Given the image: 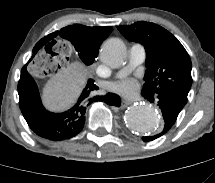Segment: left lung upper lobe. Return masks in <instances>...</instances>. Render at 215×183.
Returning <instances> with one entry per match:
<instances>
[{
	"label": "left lung upper lobe",
	"instance_id": "left-lung-upper-lobe-1",
	"mask_svg": "<svg viewBox=\"0 0 215 183\" xmlns=\"http://www.w3.org/2000/svg\"><path fill=\"white\" fill-rule=\"evenodd\" d=\"M117 28L126 39L145 47L147 70L142 93L169 94L186 104L192 84L191 60L182 44L166 29L145 21Z\"/></svg>",
	"mask_w": 215,
	"mask_h": 183
}]
</instances>
